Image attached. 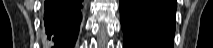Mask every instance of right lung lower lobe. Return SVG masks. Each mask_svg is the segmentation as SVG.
Returning <instances> with one entry per match:
<instances>
[{
  "mask_svg": "<svg viewBox=\"0 0 213 48\" xmlns=\"http://www.w3.org/2000/svg\"><path fill=\"white\" fill-rule=\"evenodd\" d=\"M83 0H46L45 26L47 39L54 48H72L75 44Z\"/></svg>",
  "mask_w": 213,
  "mask_h": 48,
  "instance_id": "1",
  "label": "right lung lower lobe"
}]
</instances>
